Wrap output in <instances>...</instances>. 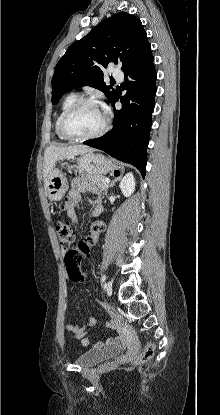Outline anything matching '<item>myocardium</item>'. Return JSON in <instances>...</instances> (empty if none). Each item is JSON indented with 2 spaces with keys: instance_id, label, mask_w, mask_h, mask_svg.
I'll use <instances>...</instances> for the list:
<instances>
[{
  "instance_id": "1",
  "label": "myocardium",
  "mask_w": 220,
  "mask_h": 415,
  "mask_svg": "<svg viewBox=\"0 0 220 415\" xmlns=\"http://www.w3.org/2000/svg\"><path fill=\"white\" fill-rule=\"evenodd\" d=\"M86 105L98 106L103 111L104 123H103L101 129L99 131H97L96 133H94V134H91V135H88V136L73 135L68 130V127H67L68 120L70 119V117L76 111H78L80 108H82L83 106H86ZM109 122L110 121H109L108 115H107L106 111L103 108V105L101 104V102L99 100L94 99V98H81V99H78L74 104H72L64 112V114L62 115L61 120H60L59 129H60L61 134L65 138H67L68 140L82 142V141H88V140H92V139H96V138L101 137L108 130Z\"/></svg>"
}]
</instances>
